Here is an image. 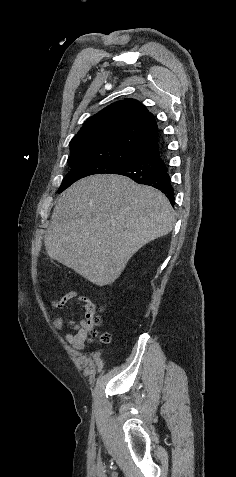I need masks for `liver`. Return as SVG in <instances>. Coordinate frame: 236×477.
<instances>
[{
  "label": "liver",
  "mask_w": 236,
  "mask_h": 477,
  "mask_svg": "<svg viewBox=\"0 0 236 477\" xmlns=\"http://www.w3.org/2000/svg\"><path fill=\"white\" fill-rule=\"evenodd\" d=\"M174 224V210L159 190L125 176L94 175L61 194L44 245L50 258L102 287Z\"/></svg>",
  "instance_id": "1"
}]
</instances>
